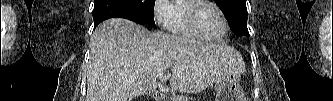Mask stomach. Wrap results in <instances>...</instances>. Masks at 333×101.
Here are the masks:
<instances>
[{
    "mask_svg": "<svg viewBox=\"0 0 333 101\" xmlns=\"http://www.w3.org/2000/svg\"><path fill=\"white\" fill-rule=\"evenodd\" d=\"M239 72L226 75L215 82V101H247L245 93L240 85Z\"/></svg>",
    "mask_w": 333,
    "mask_h": 101,
    "instance_id": "obj_1",
    "label": "stomach"
}]
</instances>
